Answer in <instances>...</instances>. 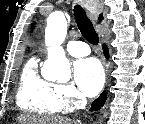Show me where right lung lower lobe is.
<instances>
[{
    "instance_id": "obj_1",
    "label": "right lung lower lobe",
    "mask_w": 145,
    "mask_h": 124,
    "mask_svg": "<svg viewBox=\"0 0 145 124\" xmlns=\"http://www.w3.org/2000/svg\"><path fill=\"white\" fill-rule=\"evenodd\" d=\"M104 53L106 56H108V52H107V48L104 46ZM106 100V96H105V93L101 94V96L96 99L93 104H92V109L94 110H98L101 108V106L104 104Z\"/></svg>"
}]
</instances>
